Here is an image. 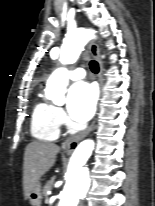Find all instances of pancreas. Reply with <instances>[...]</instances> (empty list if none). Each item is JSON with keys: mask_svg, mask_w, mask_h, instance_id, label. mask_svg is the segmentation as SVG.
Instances as JSON below:
<instances>
[{"mask_svg": "<svg viewBox=\"0 0 155 206\" xmlns=\"http://www.w3.org/2000/svg\"><path fill=\"white\" fill-rule=\"evenodd\" d=\"M54 177L51 178L49 181H47V183L45 184L44 186V193L46 194L48 190H50L53 186V183H54Z\"/></svg>", "mask_w": 155, "mask_h": 206, "instance_id": "cf45deb5", "label": "pancreas"}]
</instances>
